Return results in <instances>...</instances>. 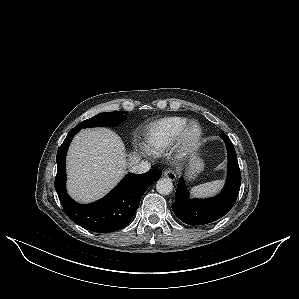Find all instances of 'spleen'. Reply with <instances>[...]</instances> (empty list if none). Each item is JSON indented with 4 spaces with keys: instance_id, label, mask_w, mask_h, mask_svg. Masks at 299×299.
Returning a JSON list of instances; mask_svg holds the SVG:
<instances>
[{
    "instance_id": "obj_1",
    "label": "spleen",
    "mask_w": 299,
    "mask_h": 299,
    "mask_svg": "<svg viewBox=\"0 0 299 299\" xmlns=\"http://www.w3.org/2000/svg\"><path fill=\"white\" fill-rule=\"evenodd\" d=\"M223 180H215L200 184L190 189V194L196 198H205L216 194L222 187Z\"/></svg>"
}]
</instances>
